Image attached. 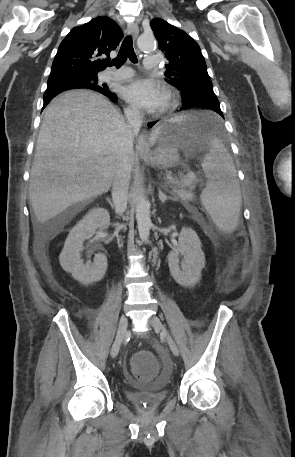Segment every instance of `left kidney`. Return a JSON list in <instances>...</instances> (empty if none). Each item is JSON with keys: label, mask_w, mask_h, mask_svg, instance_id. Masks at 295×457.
I'll use <instances>...</instances> for the list:
<instances>
[{"label": "left kidney", "mask_w": 295, "mask_h": 457, "mask_svg": "<svg viewBox=\"0 0 295 457\" xmlns=\"http://www.w3.org/2000/svg\"><path fill=\"white\" fill-rule=\"evenodd\" d=\"M178 247L168 254V266L174 280L185 288L193 287L201 278L205 267V255L197 233L188 227H183ZM183 256L179 265V256Z\"/></svg>", "instance_id": "obj_1"}]
</instances>
